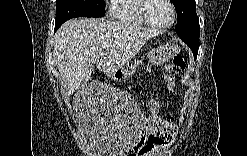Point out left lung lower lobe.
I'll list each match as a JSON object with an SVG mask.
<instances>
[{
  "mask_svg": "<svg viewBox=\"0 0 247 156\" xmlns=\"http://www.w3.org/2000/svg\"><path fill=\"white\" fill-rule=\"evenodd\" d=\"M199 36L200 28L194 29L184 36H180V38L191 48L195 58L199 48Z\"/></svg>",
  "mask_w": 247,
  "mask_h": 156,
  "instance_id": "0a47b994",
  "label": "left lung lower lobe"
}]
</instances>
